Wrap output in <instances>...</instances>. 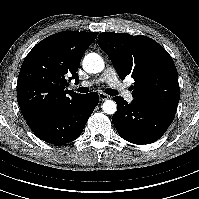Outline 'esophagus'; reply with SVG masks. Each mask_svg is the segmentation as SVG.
<instances>
[{"instance_id":"1","label":"esophagus","mask_w":199,"mask_h":199,"mask_svg":"<svg viewBox=\"0 0 199 199\" xmlns=\"http://www.w3.org/2000/svg\"><path fill=\"white\" fill-rule=\"evenodd\" d=\"M98 95H99L100 101H105L109 99V96L105 94L104 92H99Z\"/></svg>"}]
</instances>
